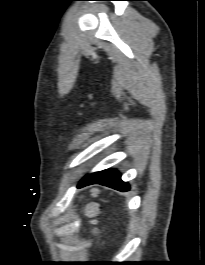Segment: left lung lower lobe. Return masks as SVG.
Masks as SVG:
<instances>
[{"mask_svg": "<svg viewBox=\"0 0 205 265\" xmlns=\"http://www.w3.org/2000/svg\"><path fill=\"white\" fill-rule=\"evenodd\" d=\"M92 184H101L121 192L130 189L129 184L121 180V174L114 169H107L86 175L78 184V187H84Z\"/></svg>", "mask_w": 205, "mask_h": 265, "instance_id": "left-lung-lower-lobe-1", "label": "left lung lower lobe"}]
</instances>
